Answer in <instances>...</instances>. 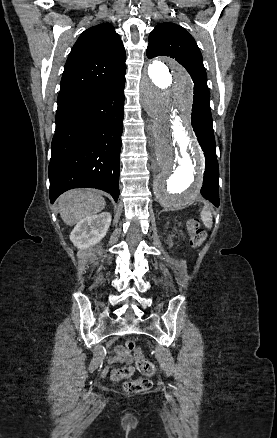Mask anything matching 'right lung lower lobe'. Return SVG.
Wrapping results in <instances>:
<instances>
[{"mask_svg": "<svg viewBox=\"0 0 277 438\" xmlns=\"http://www.w3.org/2000/svg\"><path fill=\"white\" fill-rule=\"evenodd\" d=\"M124 83L125 74L58 103L48 169L51 203L79 187L104 190L117 201Z\"/></svg>", "mask_w": 277, "mask_h": 438, "instance_id": "1", "label": "right lung lower lobe"}]
</instances>
